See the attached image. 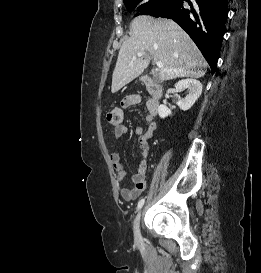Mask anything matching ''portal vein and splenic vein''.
I'll list each match as a JSON object with an SVG mask.
<instances>
[{
  "label": "portal vein and splenic vein",
  "instance_id": "portal-vein-and-splenic-vein-1",
  "mask_svg": "<svg viewBox=\"0 0 261 273\" xmlns=\"http://www.w3.org/2000/svg\"><path fill=\"white\" fill-rule=\"evenodd\" d=\"M143 54H144V52H139V53H137V55L134 58L141 57ZM156 65H157L158 68H162L163 67V63L160 62V61L157 62Z\"/></svg>",
  "mask_w": 261,
  "mask_h": 273
}]
</instances>
